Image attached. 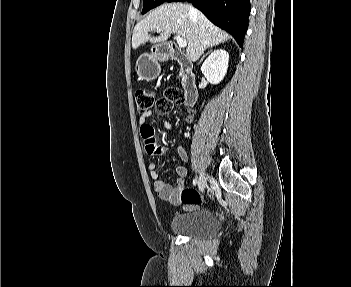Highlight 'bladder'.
Instances as JSON below:
<instances>
[{"instance_id":"1","label":"bladder","mask_w":351,"mask_h":287,"mask_svg":"<svg viewBox=\"0 0 351 287\" xmlns=\"http://www.w3.org/2000/svg\"><path fill=\"white\" fill-rule=\"evenodd\" d=\"M220 223L217 216L209 210H194L174 215L170 229L183 236L206 238L218 232Z\"/></svg>"}]
</instances>
